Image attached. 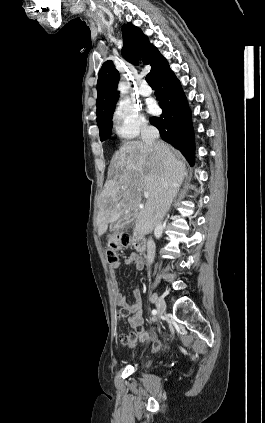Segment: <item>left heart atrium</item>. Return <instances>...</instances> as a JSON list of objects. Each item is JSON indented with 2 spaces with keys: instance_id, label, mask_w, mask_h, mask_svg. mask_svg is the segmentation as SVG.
Returning <instances> with one entry per match:
<instances>
[{
  "instance_id": "left-heart-atrium-1",
  "label": "left heart atrium",
  "mask_w": 265,
  "mask_h": 423,
  "mask_svg": "<svg viewBox=\"0 0 265 423\" xmlns=\"http://www.w3.org/2000/svg\"><path fill=\"white\" fill-rule=\"evenodd\" d=\"M148 110L150 113H156L157 112V105L154 102H151L148 105Z\"/></svg>"
}]
</instances>
